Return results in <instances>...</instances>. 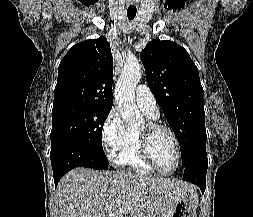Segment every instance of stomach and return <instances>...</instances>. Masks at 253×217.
<instances>
[{"mask_svg": "<svg viewBox=\"0 0 253 217\" xmlns=\"http://www.w3.org/2000/svg\"><path fill=\"white\" fill-rule=\"evenodd\" d=\"M197 202L195 200H179L173 206L170 217H197Z\"/></svg>", "mask_w": 253, "mask_h": 217, "instance_id": "obj_1", "label": "stomach"}]
</instances>
